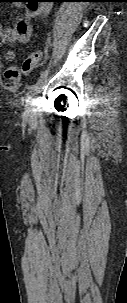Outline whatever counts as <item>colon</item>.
I'll return each instance as SVG.
<instances>
[{
  "mask_svg": "<svg viewBox=\"0 0 127 303\" xmlns=\"http://www.w3.org/2000/svg\"><path fill=\"white\" fill-rule=\"evenodd\" d=\"M40 58L39 52H33L24 60L21 67H8L5 71L6 79L12 82L19 81L23 74H27L40 61Z\"/></svg>",
  "mask_w": 127,
  "mask_h": 303,
  "instance_id": "5ec220e1",
  "label": "colon"
}]
</instances>
